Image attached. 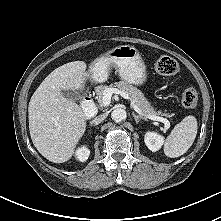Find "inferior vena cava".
Returning a JSON list of instances; mask_svg holds the SVG:
<instances>
[{
    "label": "inferior vena cava",
    "instance_id": "1",
    "mask_svg": "<svg viewBox=\"0 0 221 221\" xmlns=\"http://www.w3.org/2000/svg\"><path fill=\"white\" fill-rule=\"evenodd\" d=\"M106 118V114L99 115L95 118L96 122H102Z\"/></svg>",
    "mask_w": 221,
    "mask_h": 221
}]
</instances>
